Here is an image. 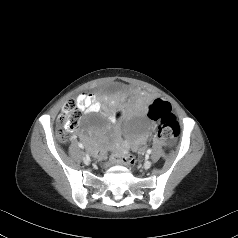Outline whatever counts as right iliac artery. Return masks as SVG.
<instances>
[{
  "instance_id": "1",
  "label": "right iliac artery",
  "mask_w": 238,
  "mask_h": 238,
  "mask_svg": "<svg viewBox=\"0 0 238 238\" xmlns=\"http://www.w3.org/2000/svg\"><path fill=\"white\" fill-rule=\"evenodd\" d=\"M78 146L80 147V148H84V146H83V144L82 143H78Z\"/></svg>"
}]
</instances>
